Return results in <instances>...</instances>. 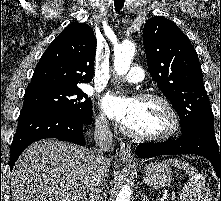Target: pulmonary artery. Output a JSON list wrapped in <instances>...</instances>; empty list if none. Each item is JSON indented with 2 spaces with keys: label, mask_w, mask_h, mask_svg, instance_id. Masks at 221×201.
Instances as JSON below:
<instances>
[{
  "label": "pulmonary artery",
  "mask_w": 221,
  "mask_h": 201,
  "mask_svg": "<svg viewBox=\"0 0 221 201\" xmlns=\"http://www.w3.org/2000/svg\"><path fill=\"white\" fill-rule=\"evenodd\" d=\"M145 74L142 68L134 66L130 69L127 75L124 76V80L130 83H140L144 80Z\"/></svg>",
  "instance_id": "1"
}]
</instances>
